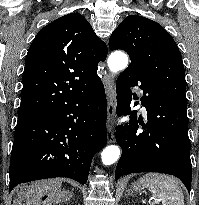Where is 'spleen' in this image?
I'll use <instances>...</instances> for the list:
<instances>
[{
	"mask_svg": "<svg viewBox=\"0 0 199 205\" xmlns=\"http://www.w3.org/2000/svg\"><path fill=\"white\" fill-rule=\"evenodd\" d=\"M139 181L163 205H184L183 192L174 178L165 174L147 173Z\"/></svg>",
	"mask_w": 199,
	"mask_h": 205,
	"instance_id": "3e777b00",
	"label": "spleen"
}]
</instances>
